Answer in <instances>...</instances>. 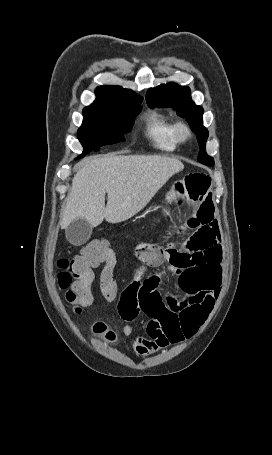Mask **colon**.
<instances>
[{
	"mask_svg": "<svg viewBox=\"0 0 272 455\" xmlns=\"http://www.w3.org/2000/svg\"><path fill=\"white\" fill-rule=\"evenodd\" d=\"M100 266L103 269L96 286L95 269ZM58 267L59 286L65 291V299L74 312L78 313L90 305L97 292L108 301L117 298L118 286L114 278L116 258L107 241L89 242L74 258L60 259ZM94 332L103 335L107 340L114 338L113 333L102 323L94 326Z\"/></svg>",
	"mask_w": 272,
	"mask_h": 455,
	"instance_id": "1",
	"label": "colon"
}]
</instances>
